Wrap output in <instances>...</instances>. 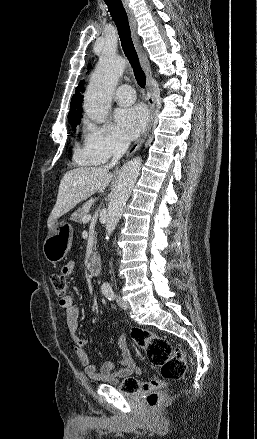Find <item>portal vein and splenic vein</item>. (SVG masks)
<instances>
[{"label":"portal vein and splenic vein","mask_w":257,"mask_h":439,"mask_svg":"<svg viewBox=\"0 0 257 439\" xmlns=\"http://www.w3.org/2000/svg\"><path fill=\"white\" fill-rule=\"evenodd\" d=\"M91 220V215H86L83 217L82 222L83 223H88Z\"/></svg>","instance_id":"portal-vein-and-splenic-vein-1"}]
</instances>
